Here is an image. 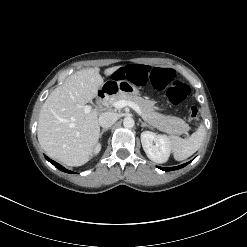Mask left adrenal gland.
Segmentation results:
<instances>
[{"label":"left adrenal gland","mask_w":247,"mask_h":247,"mask_svg":"<svg viewBox=\"0 0 247 247\" xmlns=\"http://www.w3.org/2000/svg\"><path fill=\"white\" fill-rule=\"evenodd\" d=\"M140 122H141V126H142V127H149V128L152 129V127H151L150 125H148L147 123L142 122L141 120H140Z\"/></svg>","instance_id":"1"}]
</instances>
